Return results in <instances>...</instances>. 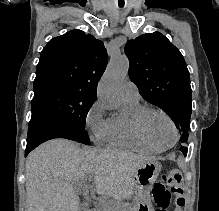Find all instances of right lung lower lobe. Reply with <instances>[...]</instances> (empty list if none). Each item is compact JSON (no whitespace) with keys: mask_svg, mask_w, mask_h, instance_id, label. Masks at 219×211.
Instances as JSON below:
<instances>
[{"mask_svg":"<svg viewBox=\"0 0 219 211\" xmlns=\"http://www.w3.org/2000/svg\"><path fill=\"white\" fill-rule=\"evenodd\" d=\"M54 138H65L90 145L89 138L79 129L53 120L37 119L29 123L25 156L41 143Z\"/></svg>","mask_w":219,"mask_h":211,"instance_id":"right-lung-lower-lobe-1","label":"right lung lower lobe"}]
</instances>
